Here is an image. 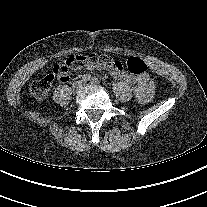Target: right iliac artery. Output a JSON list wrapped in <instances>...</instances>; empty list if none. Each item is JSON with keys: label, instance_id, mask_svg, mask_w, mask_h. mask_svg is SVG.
Segmentation results:
<instances>
[{"label": "right iliac artery", "instance_id": "right-iliac-artery-1", "mask_svg": "<svg viewBox=\"0 0 207 207\" xmlns=\"http://www.w3.org/2000/svg\"><path fill=\"white\" fill-rule=\"evenodd\" d=\"M90 79H91V75L90 74H84L82 76V81L85 82V83L88 82Z\"/></svg>", "mask_w": 207, "mask_h": 207}]
</instances>
